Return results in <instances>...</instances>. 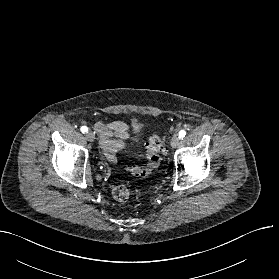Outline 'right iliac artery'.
<instances>
[{
	"mask_svg": "<svg viewBox=\"0 0 279 279\" xmlns=\"http://www.w3.org/2000/svg\"><path fill=\"white\" fill-rule=\"evenodd\" d=\"M80 130L82 133H86L88 131V128L86 126H82Z\"/></svg>",
	"mask_w": 279,
	"mask_h": 279,
	"instance_id": "obj_1",
	"label": "right iliac artery"
}]
</instances>
